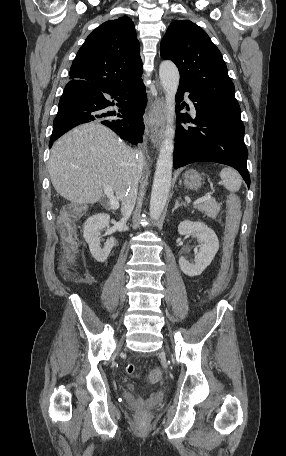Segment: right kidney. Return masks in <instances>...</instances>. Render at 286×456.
<instances>
[{
	"instance_id": "right-kidney-1",
	"label": "right kidney",
	"mask_w": 286,
	"mask_h": 456,
	"mask_svg": "<svg viewBox=\"0 0 286 456\" xmlns=\"http://www.w3.org/2000/svg\"><path fill=\"white\" fill-rule=\"evenodd\" d=\"M110 216L105 213L95 214L89 217L84 223L83 237L87 244L93 258L98 262H104L113 246L116 243L114 237L107 240L104 247L100 246V232L109 227Z\"/></svg>"
}]
</instances>
